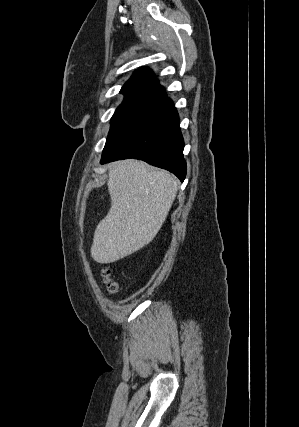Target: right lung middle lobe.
Here are the masks:
<instances>
[{
  "label": "right lung middle lobe",
  "instance_id": "right-lung-middle-lobe-1",
  "mask_svg": "<svg viewBox=\"0 0 299 427\" xmlns=\"http://www.w3.org/2000/svg\"><path fill=\"white\" fill-rule=\"evenodd\" d=\"M154 106V103L139 100H123L111 119V128L103 152L109 150L128 133Z\"/></svg>",
  "mask_w": 299,
  "mask_h": 427
}]
</instances>
